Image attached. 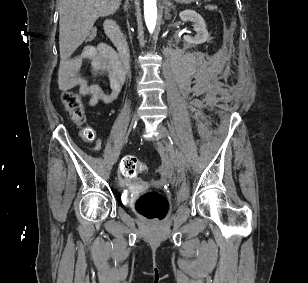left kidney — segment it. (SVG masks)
Wrapping results in <instances>:
<instances>
[{
  "instance_id": "obj_1",
  "label": "left kidney",
  "mask_w": 308,
  "mask_h": 283,
  "mask_svg": "<svg viewBox=\"0 0 308 283\" xmlns=\"http://www.w3.org/2000/svg\"><path fill=\"white\" fill-rule=\"evenodd\" d=\"M182 21H192L194 23V30L196 31V36L191 37L188 35L184 36V40L189 44H202L208 39V31L206 29V24L201 15L192 10H185L179 14Z\"/></svg>"
}]
</instances>
